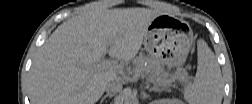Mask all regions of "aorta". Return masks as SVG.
I'll use <instances>...</instances> for the list:
<instances>
[{"label": "aorta", "instance_id": "obj_1", "mask_svg": "<svg viewBox=\"0 0 252 104\" xmlns=\"http://www.w3.org/2000/svg\"><path fill=\"white\" fill-rule=\"evenodd\" d=\"M125 102L132 103L133 102V98L130 95H126L125 96Z\"/></svg>", "mask_w": 252, "mask_h": 104}]
</instances>
